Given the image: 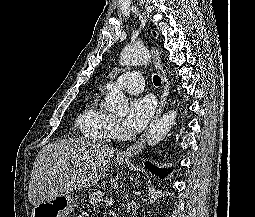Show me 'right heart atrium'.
Segmentation results:
<instances>
[{
	"mask_svg": "<svg viewBox=\"0 0 255 217\" xmlns=\"http://www.w3.org/2000/svg\"><path fill=\"white\" fill-rule=\"evenodd\" d=\"M110 133L112 136H119L121 133L120 124L117 120L113 119L110 125Z\"/></svg>",
	"mask_w": 255,
	"mask_h": 217,
	"instance_id": "d8ad5b80",
	"label": "right heart atrium"
}]
</instances>
